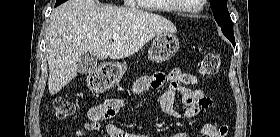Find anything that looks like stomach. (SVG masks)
<instances>
[{
  "instance_id": "obj_1",
  "label": "stomach",
  "mask_w": 280,
  "mask_h": 137,
  "mask_svg": "<svg viewBox=\"0 0 280 137\" xmlns=\"http://www.w3.org/2000/svg\"><path fill=\"white\" fill-rule=\"evenodd\" d=\"M179 39L173 33H163L154 38L148 51L150 61L161 63L171 59L178 51ZM127 66L124 63H110L104 66L100 80L88 83V87L94 92H102L116 85L126 73Z\"/></svg>"
}]
</instances>
